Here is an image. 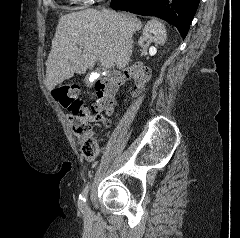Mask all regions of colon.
I'll list each match as a JSON object with an SVG mask.
<instances>
[{
    "instance_id": "obj_1",
    "label": "colon",
    "mask_w": 240,
    "mask_h": 238,
    "mask_svg": "<svg viewBox=\"0 0 240 238\" xmlns=\"http://www.w3.org/2000/svg\"><path fill=\"white\" fill-rule=\"evenodd\" d=\"M125 79H132L135 90L141 89L149 80V71L142 65H133L124 73H113L96 84L95 101L89 109L80 95L76 84H63L52 89L53 98L71 112L72 128L80 141L81 152L88 160H93L98 153L92 128L83 121V117L108 110L115 105V96ZM105 123H108L105 120Z\"/></svg>"
}]
</instances>
